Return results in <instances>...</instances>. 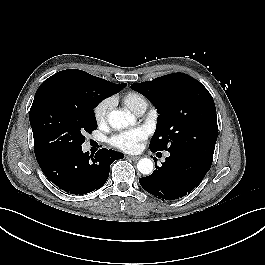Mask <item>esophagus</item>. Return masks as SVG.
Masks as SVG:
<instances>
[{"label": "esophagus", "mask_w": 265, "mask_h": 265, "mask_svg": "<svg viewBox=\"0 0 265 265\" xmlns=\"http://www.w3.org/2000/svg\"><path fill=\"white\" fill-rule=\"evenodd\" d=\"M127 158L133 161H137L140 159V156H128Z\"/></svg>", "instance_id": "1"}]
</instances>
